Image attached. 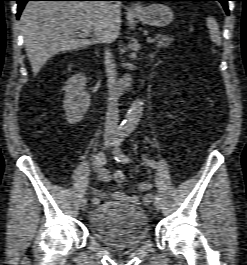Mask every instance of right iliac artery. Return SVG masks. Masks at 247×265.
<instances>
[{
  "label": "right iliac artery",
  "mask_w": 247,
  "mask_h": 265,
  "mask_svg": "<svg viewBox=\"0 0 247 265\" xmlns=\"http://www.w3.org/2000/svg\"><path fill=\"white\" fill-rule=\"evenodd\" d=\"M106 163V158L104 152L100 151L95 158V164L97 167H102ZM100 200L98 198H94L92 201L93 205H98Z\"/></svg>",
  "instance_id": "obj_1"
}]
</instances>
